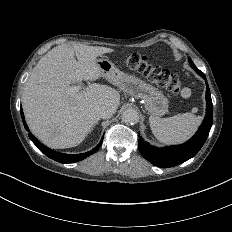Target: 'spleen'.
Masks as SVG:
<instances>
[{
  "label": "spleen",
  "mask_w": 232,
  "mask_h": 232,
  "mask_svg": "<svg viewBox=\"0 0 232 232\" xmlns=\"http://www.w3.org/2000/svg\"><path fill=\"white\" fill-rule=\"evenodd\" d=\"M203 120L202 116L192 113L178 114L169 118L150 116L152 133L164 144H177L187 141L197 131Z\"/></svg>",
  "instance_id": "spleen-1"
}]
</instances>
